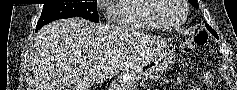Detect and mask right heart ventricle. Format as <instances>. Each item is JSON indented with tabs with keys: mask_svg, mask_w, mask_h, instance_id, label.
Returning <instances> with one entry per match:
<instances>
[{
	"mask_svg": "<svg viewBox=\"0 0 237 90\" xmlns=\"http://www.w3.org/2000/svg\"><path fill=\"white\" fill-rule=\"evenodd\" d=\"M149 7H156L152 0H118L108 7V24L114 28L158 29L155 14H146Z\"/></svg>",
	"mask_w": 237,
	"mask_h": 90,
	"instance_id": "right-heart-ventricle-1",
	"label": "right heart ventricle"
}]
</instances>
